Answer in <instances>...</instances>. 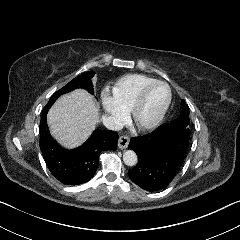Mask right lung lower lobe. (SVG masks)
<instances>
[{"label":"right lung lower lobe","mask_w":240,"mask_h":240,"mask_svg":"<svg viewBox=\"0 0 240 240\" xmlns=\"http://www.w3.org/2000/svg\"><path fill=\"white\" fill-rule=\"evenodd\" d=\"M118 134L110 130L94 131L80 147L66 150L51 137L47 113L40 121L39 146L51 174L61 183L79 185L88 182L99 166L103 151L117 149Z\"/></svg>","instance_id":"obj_1"}]
</instances>
